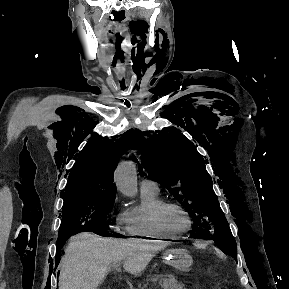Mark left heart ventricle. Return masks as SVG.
Here are the masks:
<instances>
[{"label":"left heart ventricle","instance_id":"1","mask_svg":"<svg viewBox=\"0 0 289 289\" xmlns=\"http://www.w3.org/2000/svg\"><path fill=\"white\" fill-rule=\"evenodd\" d=\"M164 224L173 232H181L188 226V220L185 215L175 208H170L164 212Z\"/></svg>","mask_w":289,"mask_h":289}]
</instances>
